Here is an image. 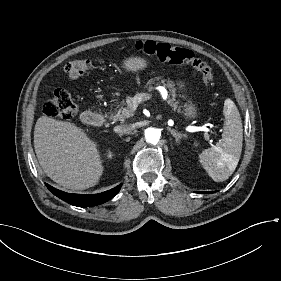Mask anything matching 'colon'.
Segmentation results:
<instances>
[{"label":"colon","mask_w":281,"mask_h":281,"mask_svg":"<svg viewBox=\"0 0 281 281\" xmlns=\"http://www.w3.org/2000/svg\"><path fill=\"white\" fill-rule=\"evenodd\" d=\"M131 47L136 52L155 57L160 62L190 64L201 73L205 81L209 82L212 80L210 67L201 59L196 58L192 52L187 49L154 41H136L132 43ZM92 63L93 60L89 57L76 58L65 65L64 71L70 78L83 77L91 70ZM76 110L75 102L66 91L55 92L44 104V112L46 116L51 118L72 120L76 115Z\"/></svg>","instance_id":"5ec220e1"}]
</instances>
